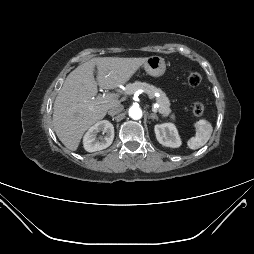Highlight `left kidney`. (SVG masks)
Returning a JSON list of instances; mask_svg holds the SVG:
<instances>
[{"label":"left kidney","instance_id":"5707ae66","mask_svg":"<svg viewBox=\"0 0 254 254\" xmlns=\"http://www.w3.org/2000/svg\"><path fill=\"white\" fill-rule=\"evenodd\" d=\"M154 130L158 142L163 146L171 148H178L181 146V139L174 124H157Z\"/></svg>","mask_w":254,"mask_h":254}]
</instances>
